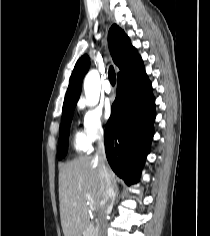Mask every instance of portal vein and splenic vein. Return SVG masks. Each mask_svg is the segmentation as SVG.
Returning <instances> with one entry per match:
<instances>
[{"label": "portal vein and splenic vein", "mask_w": 210, "mask_h": 236, "mask_svg": "<svg viewBox=\"0 0 210 236\" xmlns=\"http://www.w3.org/2000/svg\"><path fill=\"white\" fill-rule=\"evenodd\" d=\"M90 209H95V205L93 203H90Z\"/></svg>", "instance_id": "18ae733b"}]
</instances>
